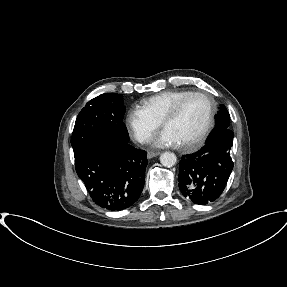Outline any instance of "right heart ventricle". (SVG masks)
<instances>
[{"label": "right heart ventricle", "instance_id": "1", "mask_svg": "<svg viewBox=\"0 0 287 287\" xmlns=\"http://www.w3.org/2000/svg\"><path fill=\"white\" fill-rule=\"evenodd\" d=\"M188 90H167L156 95H153L147 99H144L139 107L150 118L158 123H161L164 115L170 110V108L182 97L189 94Z\"/></svg>", "mask_w": 287, "mask_h": 287}]
</instances>
